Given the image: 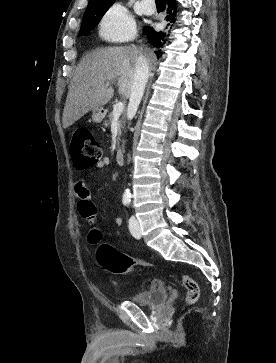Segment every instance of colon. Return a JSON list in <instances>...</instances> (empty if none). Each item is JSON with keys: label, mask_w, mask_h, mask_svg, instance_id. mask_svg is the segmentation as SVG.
I'll return each instance as SVG.
<instances>
[{"label": "colon", "mask_w": 276, "mask_h": 363, "mask_svg": "<svg viewBox=\"0 0 276 363\" xmlns=\"http://www.w3.org/2000/svg\"><path fill=\"white\" fill-rule=\"evenodd\" d=\"M71 155L76 167L80 169L88 168L97 164L102 157V150L99 142L87 129L75 131L71 141ZM90 244L97 245L95 253L96 261L108 272L112 274H122L135 266H146L147 263L131 258L113 246L101 242V232L93 229L88 236ZM152 283H156L153 281ZM182 285L185 290V302L187 305L198 300L199 287L194 279L188 275L182 276Z\"/></svg>", "instance_id": "1"}]
</instances>
